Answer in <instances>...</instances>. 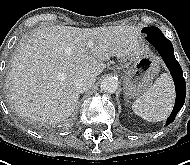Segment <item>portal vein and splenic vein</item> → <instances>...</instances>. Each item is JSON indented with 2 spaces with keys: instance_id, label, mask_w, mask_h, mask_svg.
I'll use <instances>...</instances> for the list:
<instances>
[{
  "instance_id": "obj_1",
  "label": "portal vein and splenic vein",
  "mask_w": 190,
  "mask_h": 165,
  "mask_svg": "<svg viewBox=\"0 0 190 165\" xmlns=\"http://www.w3.org/2000/svg\"><path fill=\"white\" fill-rule=\"evenodd\" d=\"M92 46H93V42L90 41V42L88 43V47H92Z\"/></svg>"
}]
</instances>
